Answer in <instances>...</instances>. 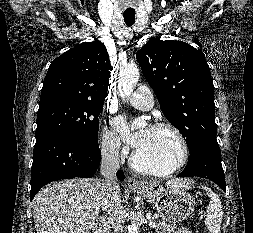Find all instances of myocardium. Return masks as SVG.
<instances>
[{
  "label": "myocardium",
  "mask_w": 253,
  "mask_h": 233,
  "mask_svg": "<svg viewBox=\"0 0 253 233\" xmlns=\"http://www.w3.org/2000/svg\"><path fill=\"white\" fill-rule=\"evenodd\" d=\"M151 129L155 130H167L171 132L179 141L181 146V156L179 161L171 168L167 170H158L151 167H148L146 165H143L139 162L136 151L133 152L131 156V165L132 167L137 170L138 172H141L146 175H152V176H158V177H165L169 176L178 170L182 169L188 162L190 151H189V145L188 142L184 136V134L181 132L179 128H177L175 125L168 123V122H157L151 126Z\"/></svg>",
  "instance_id": "f54148a6"
}]
</instances>
